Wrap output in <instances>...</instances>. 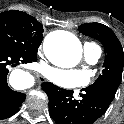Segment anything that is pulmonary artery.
Instances as JSON below:
<instances>
[{"label":"pulmonary artery","mask_w":124,"mask_h":124,"mask_svg":"<svg viewBox=\"0 0 124 124\" xmlns=\"http://www.w3.org/2000/svg\"><path fill=\"white\" fill-rule=\"evenodd\" d=\"M84 55L89 63L94 64L101 56V49L95 44H85Z\"/></svg>","instance_id":"1"}]
</instances>
